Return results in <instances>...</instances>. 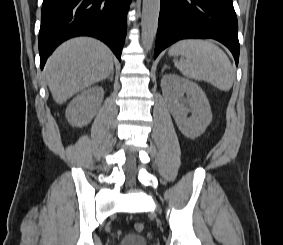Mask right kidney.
Listing matches in <instances>:
<instances>
[{
    "mask_svg": "<svg viewBox=\"0 0 283 245\" xmlns=\"http://www.w3.org/2000/svg\"><path fill=\"white\" fill-rule=\"evenodd\" d=\"M104 97L102 87H91L77 95L68 105L65 116L72 126L82 127L91 122Z\"/></svg>",
    "mask_w": 283,
    "mask_h": 245,
    "instance_id": "obj_1",
    "label": "right kidney"
}]
</instances>
